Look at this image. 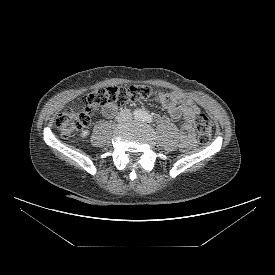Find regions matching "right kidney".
Segmentation results:
<instances>
[{
    "label": "right kidney",
    "instance_id": "obj_1",
    "mask_svg": "<svg viewBox=\"0 0 275 275\" xmlns=\"http://www.w3.org/2000/svg\"><path fill=\"white\" fill-rule=\"evenodd\" d=\"M88 135H89V130H83L80 136L82 138H86Z\"/></svg>",
    "mask_w": 275,
    "mask_h": 275
}]
</instances>
